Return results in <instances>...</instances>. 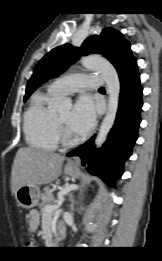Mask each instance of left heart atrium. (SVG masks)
<instances>
[{
    "mask_svg": "<svg viewBox=\"0 0 162 261\" xmlns=\"http://www.w3.org/2000/svg\"><path fill=\"white\" fill-rule=\"evenodd\" d=\"M96 120V108L88 96L80 97L74 105L69 119V129L77 134L84 135L91 131Z\"/></svg>",
    "mask_w": 162,
    "mask_h": 261,
    "instance_id": "obj_1",
    "label": "left heart atrium"
}]
</instances>
